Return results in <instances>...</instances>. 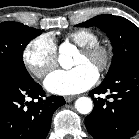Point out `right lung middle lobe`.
I'll list each match as a JSON object with an SVG mask.
<instances>
[{"mask_svg":"<svg viewBox=\"0 0 139 139\" xmlns=\"http://www.w3.org/2000/svg\"><path fill=\"white\" fill-rule=\"evenodd\" d=\"M40 34L41 30L18 22L0 23V65L28 74L23 62V51Z\"/></svg>","mask_w":139,"mask_h":139,"instance_id":"obj_1","label":"right lung middle lobe"}]
</instances>
